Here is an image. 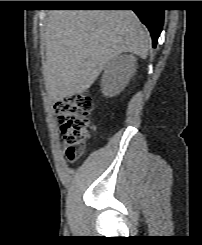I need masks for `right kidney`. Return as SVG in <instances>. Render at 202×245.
Segmentation results:
<instances>
[{
	"label": "right kidney",
	"mask_w": 202,
	"mask_h": 245,
	"mask_svg": "<svg viewBox=\"0 0 202 245\" xmlns=\"http://www.w3.org/2000/svg\"><path fill=\"white\" fill-rule=\"evenodd\" d=\"M137 59L133 55H120L108 62L101 79L102 92L107 97L120 93L136 71Z\"/></svg>",
	"instance_id": "obj_1"
}]
</instances>
